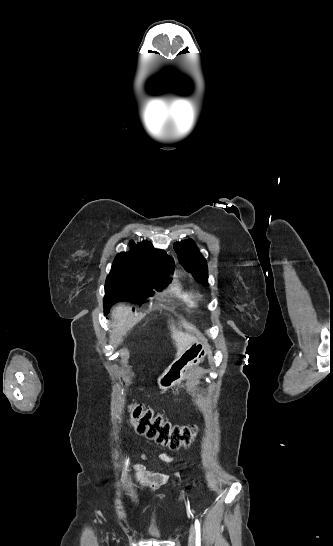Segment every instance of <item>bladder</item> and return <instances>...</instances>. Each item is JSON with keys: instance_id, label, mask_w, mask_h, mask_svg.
Listing matches in <instances>:
<instances>
[{"instance_id": "bladder-1", "label": "bladder", "mask_w": 333, "mask_h": 546, "mask_svg": "<svg viewBox=\"0 0 333 546\" xmlns=\"http://www.w3.org/2000/svg\"><path fill=\"white\" fill-rule=\"evenodd\" d=\"M147 535L154 539H160L162 538V532L158 528H150L147 530Z\"/></svg>"}]
</instances>
